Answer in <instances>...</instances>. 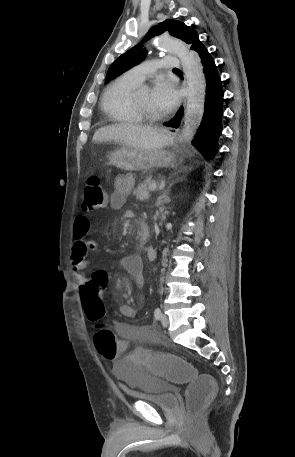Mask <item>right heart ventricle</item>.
Masks as SVG:
<instances>
[{
  "mask_svg": "<svg viewBox=\"0 0 295 457\" xmlns=\"http://www.w3.org/2000/svg\"><path fill=\"white\" fill-rule=\"evenodd\" d=\"M140 82L125 74L112 81L104 90L101 108L113 122L139 124L143 122L131 102L132 92Z\"/></svg>",
  "mask_w": 295,
  "mask_h": 457,
  "instance_id": "obj_1",
  "label": "right heart ventricle"
}]
</instances>
